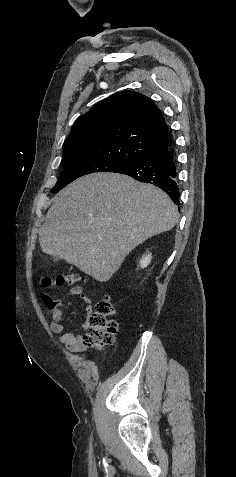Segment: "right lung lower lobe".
Instances as JSON below:
<instances>
[{
  "mask_svg": "<svg viewBox=\"0 0 236 477\" xmlns=\"http://www.w3.org/2000/svg\"><path fill=\"white\" fill-rule=\"evenodd\" d=\"M115 172L161 188L176 205H179L180 194L176 179V166L168 142L139 159L122 166Z\"/></svg>",
  "mask_w": 236,
  "mask_h": 477,
  "instance_id": "right-lung-lower-lobe-1",
  "label": "right lung lower lobe"
}]
</instances>
